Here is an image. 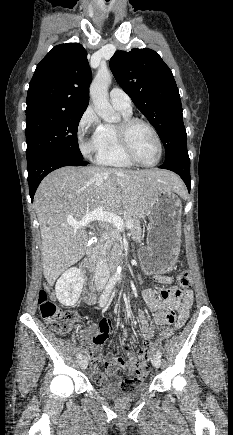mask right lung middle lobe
<instances>
[{"label":"right lung middle lobe","instance_id":"1","mask_svg":"<svg viewBox=\"0 0 233 435\" xmlns=\"http://www.w3.org/2000/svg\"><path fill=\"white\" fill-rule=\"evenodd\" d=\"M84 112H44L26 117L27 159L43 152H60L83 159L77 141Z\"/></svg>","mask_w":233,"mask_h":435}]
</instances>
